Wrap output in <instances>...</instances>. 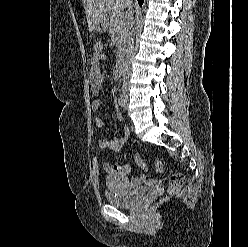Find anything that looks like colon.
I'll return each instance as SVG.
<instances>
[{"mask_svg": "<svg viewBox=\"0 0 248 247\" xmlns=\"http://www.w3.org/2000/svg\"><path fill=\"white\" fill-rule=\"evenodd\" d=\"M103 48V45L101 42H95L93 49L95 52L101 51ZM134 160L136 164L143 170L147 169L146 162L141 158L140 155L135 154ZM154 170L157 173H162L164 171V164L161 160H155L154 161ZM186 181V178L181 173H172L170 176L169 186H168V193L169 194H175L179 192L182 187L184 186Z\"/></svg>", "mask_w": 248, "mask_h": 247, "instance_id": "1", "label": "colon"}]
</instances>
